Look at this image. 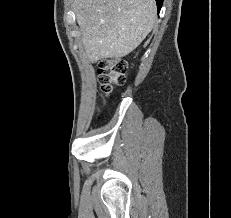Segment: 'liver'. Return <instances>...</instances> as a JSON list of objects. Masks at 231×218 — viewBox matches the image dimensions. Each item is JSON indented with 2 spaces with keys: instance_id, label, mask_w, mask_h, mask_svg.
Returning a JSON list of instances; mask_svg holds the SVG:
<instances>
[{
  "instance_id": "1",
  "label": "liver",
  "mask_w": 231,
  "mask_h": 218,
  "mask_svg": "<svg viewBox=\"0 0 231 218\" xmlns=\"http://www.w3.org/2000/svg\"><path fill=\"white\" fill-rule=\"evenodd\" d=\"M73 9L88 58H121L151 32L155 0H74Z\"/></svg>"
}]
</instances>
